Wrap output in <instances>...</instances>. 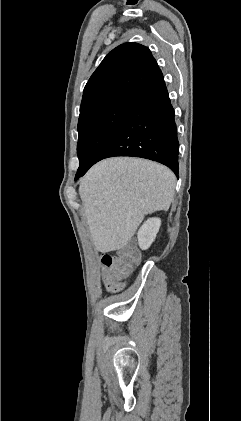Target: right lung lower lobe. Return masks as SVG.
<instances>
[{
	"label": "right lung lower lobe",
	"instance_id": "98d812e1",
	"mask_svg": "<svg viewBox=\"0 0 241 421\" xmlns=\"http://www.w3.org/2000/svg\"><path fill=\"white\" fill-rule=\"evenodd\" d=\"M174 117L161 75L131 100L119 128L94 164L108 157L133 156L157 161L178 174L179 142ZM88 169H78L75 180Z\"/></svg>",
	"mask_w": 241,
	"mask_h": 421
}]
</instances>
